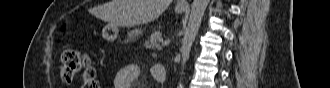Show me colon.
<instances>
[{
  "instance_id": "obj_1",
  "label": "colon",
  "mask_w": 330,
  "mask_h": 88,
  "mask_svg": "<svg viewBox=\"0 0 330 88\" xmlns=\"http://www.w3.org/2000/svg\"><path fill=\"white\" fill-rule=\"evenodd\" d=\"M82 72L84 88H98L96 72L90 58L78 49H67L61 58V78L65 84H70L76 75Z\"/></svg>"
}]
</instances>
